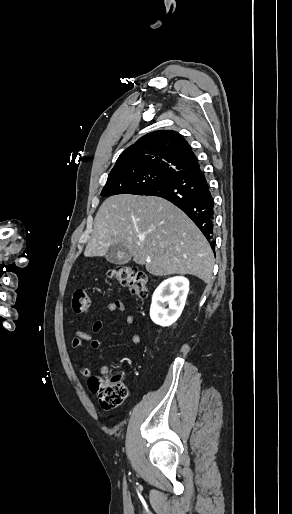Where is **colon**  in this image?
Instances as JSON below:
<instances>
[{"instance_id": "5ec220e1", "label": "colon", "mask_w": 292, "mask_h": 514, "mask_svg": "<svg viewBox=\"0 0 292 514\" xmlns=\"http://www.w3.org/2000/svg\"><path fill=\"white\" fill-rule=\"evenodd\" d=\"M108 277L120 286H129L131 293L140 298L148 295L146 275L140 273L138 265L115 266ZM72 306L75 313H86L90 308L89 297L83 288H77L73 295ZM90 389L96 396L97 402L104 409L120 405L127 398V389L117 373L102 376H92Z\"/></svg>"}]
</instances>
